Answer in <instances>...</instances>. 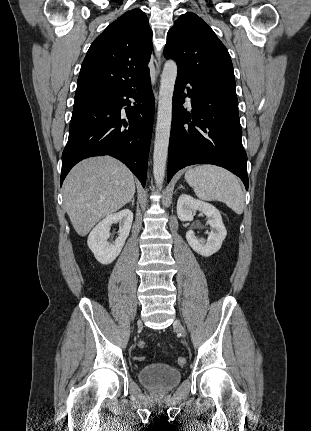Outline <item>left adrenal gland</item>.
I'll use <instances>...</instances> for the list:
<instances>
[{
  "mask_svg": "<svg viewBox=\"0 0 311 431\" xmlns=\"http://www.w3.org/2000/svg\"><path fill=\"white\" fill-rule=\"evenodd\" d=\"M180 188H183V186H180ZM178 190H179V188H178ZM183 190H185V188H183Z\"/></svg>",
  "mask_w": 311,
  "mask_h": 431,
  "instance_id": "1",
  "label": "left adrenal gland"
}]
</instances>
